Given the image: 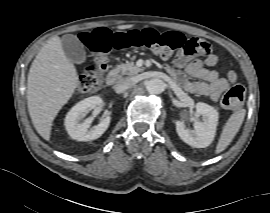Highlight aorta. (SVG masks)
I'll return each mask as SVG.
<instances>
[{"label": "aorta", "instance_id": "obj_1", "mask_svg": "<svg viewBox=\"0 0 270 213\" xmlns=\"http://www.w3.org/2000/svg\"><path fill=\"white\" fill-rule=\"evenodd\" d=\"M165 83L159 78H152L147 81L146 89L150 94H160L163 92Z\"/></svg>", "mask_w": 270, "mask_h": 213}]
</instances>
